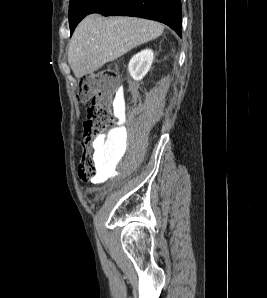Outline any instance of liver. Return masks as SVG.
Returning a JSON list of instances; mask_svg holds the SVG:
<instances>
[{"instance_id": "6515ba94", "label": "liver", "mask_w": 267, "mask_h": 298, "mask_svg": "<svg viewBox=\"0 0 267 298\" xmlns=\"http://www.w3.org/2000/svg\"><path fill=\"white\" fill-rule=\"evenodd\" d=\"M164 27L133 17L86 16L76 27L68 50V63L77 78L99 70L129 50L154 40Z\"/></svg>"}]
</instances>
